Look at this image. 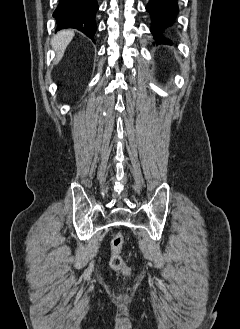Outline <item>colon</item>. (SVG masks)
Returning a JSON list of instances; mask_svg holds the SVG:
<instances>
[{
    "label": "colon",
    "mask_w": 240,
    "mask_h": 329,
    "mask_svg": "<svg viewBox=\"0 0 240 329\" xmlns=\"http://www.w3.org/2000/svg\"><path fill=\"white\" fill-rule=\"evenodd\" d=\"M123 245L124 236L121 233H116L111 240V256L109 263L112 269L127 274L128 267L124 263L122 257Z\"/></svg>",
    "instance_id": "obj_1"
}]
</instances>
